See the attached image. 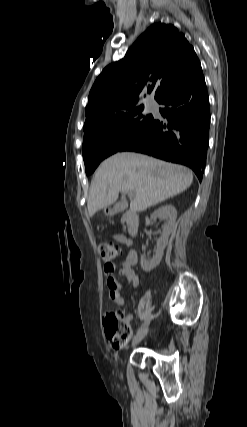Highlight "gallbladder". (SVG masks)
I'll return each mask as SVG.
<instances>
[{
  "instance_id": "gallbladder-1",
  "label": "gallbladder",
  "mask_w": 247,
  "mask_h": 427,
  "mask_svg": "<svg viewBox=\"0 0 247 427\" xmlns=\"http://www.w3.org/2000/svg\"><path fill=\"white\" fill-rule=\"evenodd\" d=\"M125 208V206L123 205V203L119 202L117 204H115L114 209L116 211H122Z\"/></svg>"
}]
</instances>
